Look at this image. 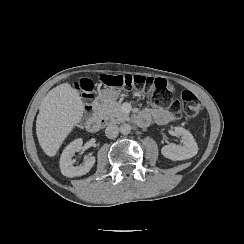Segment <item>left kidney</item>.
<instances>
[{
    "label": "left kidney",
    "mask_w": 244,
    "mask_h": 244,
    "mask_svg": "<svg viewBox=\"0 0 244 244\" xmlns=\"http://www.w3.org/2000/svg\"><path fill=\"white\" fill-rule=\"evenodd\" d=\"M175 135H180L182 139V143L185 146L170 144L165 145L161 148V154L170 160L173 161H182L191 159L198 153V145L194 140L193 135L186 129L182 127L174 128Z\"/></svg>",
    "instance_id": "5707ae66"
}]
</instances>
